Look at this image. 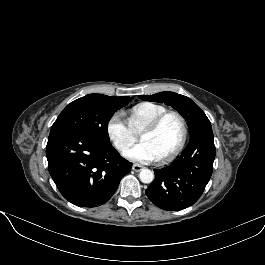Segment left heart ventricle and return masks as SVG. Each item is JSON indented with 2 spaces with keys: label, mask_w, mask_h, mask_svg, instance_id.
<instances>
[{
  "label": "left heart ventricle",
  "mask_w": 265,
  "mask_h": 265,
  "mask_svg": "<svg viewBox=\"0 0 265 265\" xmlns=\"http://www.w3.org/2000/svg\"><path fill=\"white\" fill-rule=\"evenodd\" d=\"M139 136L150 146L157 158L176 147L182 137V125L176 116H169L155 131L141 132Z\"/></svg>",
  "instance_id": "b2bd125f"
}]
</instances>
